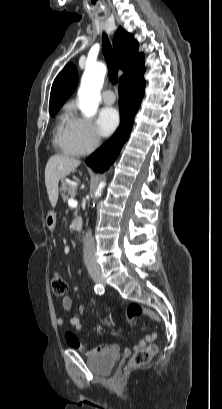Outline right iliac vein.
Returning a JSON list of instances; mask_svg holds the SVG:
<instances>
[{
  "mask_svg": "<svg viewBox=\"0 0 222 409\" xmlns=\"http://www.w3.org/2000/svg\"><path fill=\"white\" fill-rule=\"evenodd\" d=\"M93 279H94L95 282H97L99 284H104L105 283L104 278L100 274L93 275Z\"/></svg>",
  "mask_w": 222,
  "mask_h": 409,
  "instance_id": "right-iliac-vein-1",
  "label": "right iliac vein"
}]
</instances>
